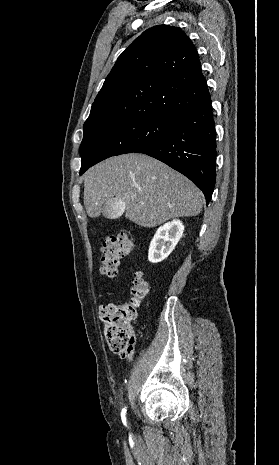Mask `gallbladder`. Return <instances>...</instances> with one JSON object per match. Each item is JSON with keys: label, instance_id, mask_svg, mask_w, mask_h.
<instances>
[{"label": "gallbladder", "instance_id": "obj_1", "mask_svg": "<svg viewBox=\"0 0 279 465\" xmlns=\"http://www.w3.org/2000/svg\"><path fill=\"white\" fill-rule=\"evenodd\" d=\"M124 208V200L115 197L105 203L102 213L105 218L115 220L122 216Z\"/></svg>", "mask_w": 279, "mask_h": 465}]
</instances>
